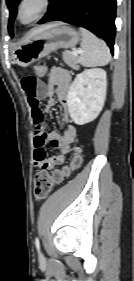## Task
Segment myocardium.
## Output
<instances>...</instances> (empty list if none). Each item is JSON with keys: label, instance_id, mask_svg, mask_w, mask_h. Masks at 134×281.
I'll return each mask as SVG.
<instances>
[{"label": "myocardium", "instance_id": "obj_1", "mask_svg": "<svg viewBox=\"0 0 134 281\" xmlns=\"http://www.w3.org/2000/svg\"><path fill=\"white\" fill-rule=\"evenodd\" d=\"M30 0H20L18 5H17V9H16V19L17 21L22 24V25H31L35 22H37L38 20H40L49 10L52 1L51 0H37L38 4H39V8L36 12V14L34 15V17L28 21H23L21 19V11L22 8L24 7V5L26 3H28Z\"/></svg>", "mask_w": 134, "mask_h": 281}]
</instances>
